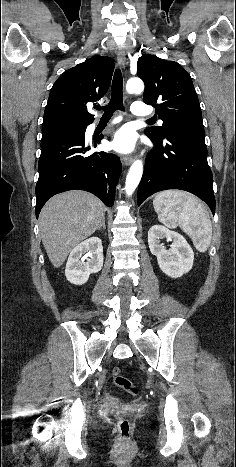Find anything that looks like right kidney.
Listing matches in <instances>:
<instances>
[{
    "label": "right kidney",
    "instance_id": "right-kidney-1",
    "mask_svg": "<svg viewBox=\"0 0 236 467\" xmlns=\"http://www.w3.org/2000/svg\"><path fill=\"white\" fill-rule=\"evenodd\" d=\"M87 254L90 258L84 259ZM103 267L102 241L91 237L77 245L70 253L66 264L65 275L70 283L82 285L88 281L90 274L99 272Z\"/></svg>",
    "mask_w": 236,
    "mask_h": 467
}]
</instances>
